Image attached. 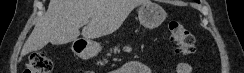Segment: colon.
I'll return each instance as SVG.
<instances>
[{
    "label": "colon",
    "instance_id": "obj_1",
    "mask_svg": "<svg viewBox=\"0 0 244 73\" xmlns=\"http://www.w3.org/2000/svg\"><path fill=\"white\" fill-rule=\"evenodd\" d=\"M169 35L180 55L187 56L194 52L195 38L183 22L170 21ZM53 65V60L48 55L41 52L33 53L26 63L23 73H50Z\"/></svg>",
    "mask_w": 244,
    "mask_h": 73
}]
</instances>
